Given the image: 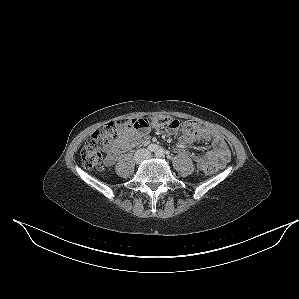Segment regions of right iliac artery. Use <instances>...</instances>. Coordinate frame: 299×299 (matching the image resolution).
Listing matches in <instances>:
<instances>
[{"instance_id":"1","label":"right iliac artery","mask_w":299,"mask_h":299,"mask_svg":"<svg viewBox=\"0 0 299 299\" xmlns=\"http://www.w3.org/2000/svg\"><path fill=\"white\" fill-rule=\"evenodd\" d=\"M148 150L151 152H156L158 150V146L155 144H151L148 146Z\"/></svg>"}]
</instances>
